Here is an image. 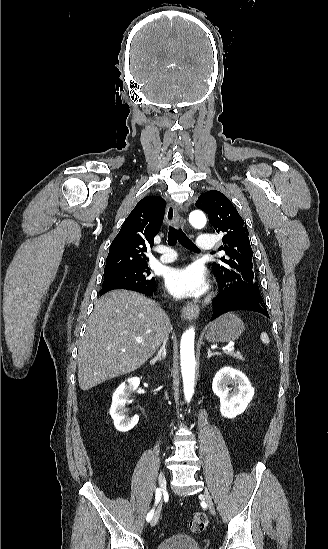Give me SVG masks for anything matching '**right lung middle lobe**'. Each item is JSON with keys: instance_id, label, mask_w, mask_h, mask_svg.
Here are the masks:
<instances>
[{"instance_id": "obj_1", "label": "right lung middle lobe", "mask_w": 328, "mask_h": 549, "mask_svg": "<svg viewBox=\"0 0 328 549\" xmlns=\"http://www.w3.org/2000/svg\"><path fill=\"white\" fill-rule=\"evenodd\" d=\"M147 264L129 266L104 272L101 295L114 289L138 290L153 286L155 278L150 276Z\"/></svg>"}]
</instances>
